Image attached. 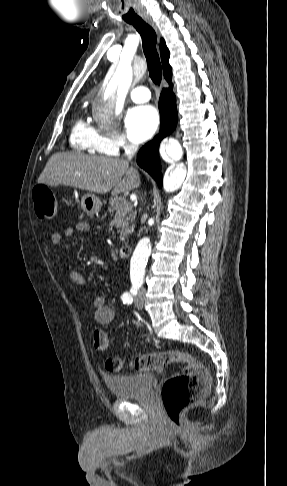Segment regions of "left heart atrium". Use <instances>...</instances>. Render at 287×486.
<instances>
[{"label": "left heart atrium", "instance_id": "39dd6f15", "mask_svg": "<svg viewBox=\"0 0 287 486\" xmlns=\"http://www.w3.org/2000/svg\"><path fill=\"white\" fill-rule=\"evenodd\" d=\"M158 123V112L150 105L131 108L125 118L128 136L135 143H141L150 138L156 131Z\"/></svg>", "mask_w": 287, "mask_h": 486}]
</instances>
